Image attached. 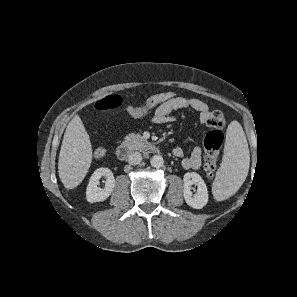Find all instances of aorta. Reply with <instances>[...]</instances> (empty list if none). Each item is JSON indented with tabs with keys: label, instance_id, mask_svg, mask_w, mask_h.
I'll use <instances>...</instances> for the list:
<instances>
[{
	"label": "aorta",
	"instance_id": "obj_1",
	"mask_svg": "<svg viewBox=\"0 0 297 297\" xmlns=\"http://www.w3.org/2000/svg\"><path fill=\"white\" fill-rule=\"evenodd\" d=\"M151 165L155 168H160L164 164L163 157L161 155H154L150 161Z\"/></svg>",
	"mask_w": 297,
	"mask_h": 297
}]
</instances>
